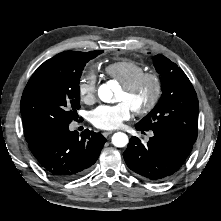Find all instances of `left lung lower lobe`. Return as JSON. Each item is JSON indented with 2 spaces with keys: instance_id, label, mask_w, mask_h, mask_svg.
<instances>
[{
  "instance_id": "obj_1",
  "label": "left lung lower lobe",
  "mask_w": 221,
  "mask_h": 221,
  "mask_svg": "<svg viewBox=\"0 0 221 221\" xmlns=\"http://www.w3.org/2000/svg\"><path fill=\"white\" fill-rule=\"evenodd\" d=\"M138 131H146L135 125ZM144 145L137 137L130 139L123 153L130 170L151 181H162L175 174L188 158L193 144L168 133L153 131Z\"/></svg>"
}]
</instances>
